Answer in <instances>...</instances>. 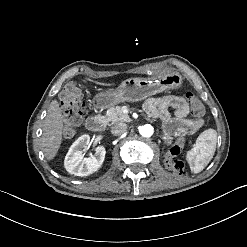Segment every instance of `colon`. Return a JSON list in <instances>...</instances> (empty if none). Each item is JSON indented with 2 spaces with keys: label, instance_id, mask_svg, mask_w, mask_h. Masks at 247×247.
Here are the masks:
<instances>
[{
  "label": "colon",
  "instance_id": "colon-1",
  "mask_svg": "<svg viewBox=\"0 0 247 247\" xmlns=\"http://www.w3.org/2000/svg\"><path fill=\"white\" fill-rule=\"evenodd\" d=\"M186 97L192 107L193 116L197 118L201 117L204 112L203 104L193 93H187ZM60 103L65 124V137L69 139L74 137L83 119V99L79 88L73 83L67 84L60 93ZM184 130L191 132L193 125L186 123ZM176 139L178 141H175L172 153L168 155V159L163 161V163L164 167L171 173L183 175L186 173L185 164L177 159L176 156L181 152L182 141L185 139V134L178 132Z\"/></svg>",
  "mask_w": 247,
  "mask_h": 247
}]
</instances>
